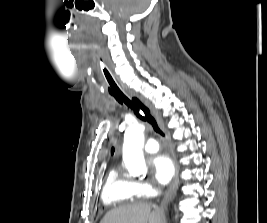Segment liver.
<instances>
[{
  "instance_id": "obj_1",
  "label": "liver",
  "mask_w": 267,
  "mask_h": 223,
  "mask_svg": "<svg viewBox=\"0 0 267 223\" xmlns=\"http://www.w3.org/2000/svg\"><path fill=\"white\" fill-rule=\"evenodd\" d=\"M151 204L135 203L119 206L107 212L100 223H161L163 211Z\"/></svg>"
}]
</instances>
